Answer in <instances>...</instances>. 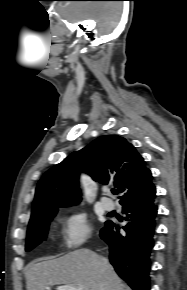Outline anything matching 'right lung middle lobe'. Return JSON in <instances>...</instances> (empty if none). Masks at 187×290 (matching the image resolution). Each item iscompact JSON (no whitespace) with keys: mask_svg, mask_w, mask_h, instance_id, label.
I'll return each mask as SVG.
<instances>
[{"mask_svg":"<svg viewBox=\"0 0 187 290\" xmlns=\"http://www.w3.org/2000/svg\"><path fill=\"white\" fill-rule=\"evenodd\" d=\"M56 213L57 210L44 214L29 223L27 231L26 251L32 250L35 246L46 239L49 224Z\"/></svg>","mask_w":187,"mask_h":290,"instance_id":"right-lung-middle-lobe-1","label":"right lung middle lobe"}]
</instances>
